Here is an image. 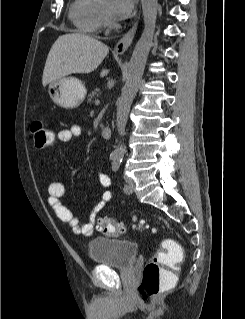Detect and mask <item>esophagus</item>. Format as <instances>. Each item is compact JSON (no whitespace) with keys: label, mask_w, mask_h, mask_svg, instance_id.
I'll list each match as a JSON object with an SVG mask.
<instances>
[{"label":"esophagus","mask_w":245,"mask_h":319,"mask_svg":"<svg viewBox=\"0 0 245 319\" xmlns=\"http://www.w3.org/2000/svg\"><path fill=\"white\" fill-rule=\"evenodd\" d=\"M137 27L138 21H136L132 28L117 42L114 48L116 53L123 54L129 48L134 39Z\"/></svg>","instance_id":"esophagus-1"}]
</instances>
